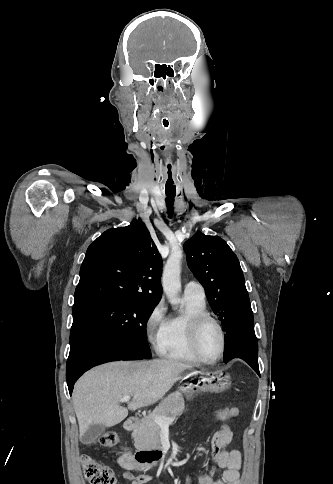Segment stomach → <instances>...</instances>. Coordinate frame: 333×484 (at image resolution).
<instances>
[{
	"label": "stomach",
	"instance_id": "0dacf381",
	"mask_svg": "<svg viewBox=\"0 0 333 484\" xmlns=\"http://www.w3.org/2000/svg\"><path fill=\"white\" fill-rule=\"evenodd\" d=\"M194 379L184 383L180 388L187 398L193 397L199 391L220 393L228 389L231 385V377L223 370L215 372L193 371Z\"/></svg>",
	"mask_w": 333,
	"mask_h": 484
}]
</instances>
